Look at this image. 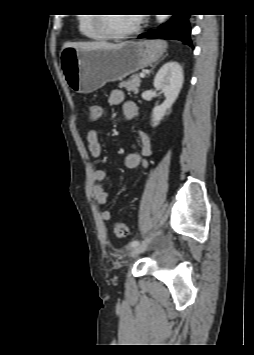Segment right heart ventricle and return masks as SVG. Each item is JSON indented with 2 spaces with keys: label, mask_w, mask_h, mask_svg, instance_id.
Listing matches in <instances>:
<instances>
[{
  "label": "right heart ventricle",
  "mask_w": 254,
  "mask_h": 355,
  "mask_svg": "<svg viewBox=\"0 0 254 355\" xmlns=\"http://www.w3.org/2000/svg\"><path fill=\"white\" fill-rule=\"evenodd\" d=\"M78 27L80 33L90 40H102L103 37L99 34L95 27V16L84 15L80 16L78 20Z\"/></svg>",
  "instance_id": "obj_1"
}]
</instances>
